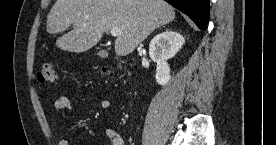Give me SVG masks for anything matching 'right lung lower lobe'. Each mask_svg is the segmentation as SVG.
I'll return each instance as SVG.
<instances>
[{
  "instance_id": "1",
  "label": "right lung lower lobe",
  "mask_w": 276,
  "mask_h": 145,
  "mask_svg": "<svg viewBox=\"0 0 276 145\" xmlns=\"http://www.w3.org/2000/svg\"><path fill=\"white\" fill-rule=\"evenodd\" d=\"M188 15L198 28L205 30L209 19V0H165Z\"/></svg>"
}]
</instances>
